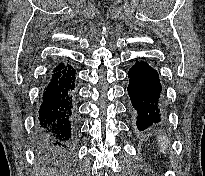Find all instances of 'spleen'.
Listing matches in <instances>:
<instances>
[{
    "instance_id": "3e777b00",
    "label": "spleen",
    "mask_w": 205,
    "mask_h": 176,
    "mask_svg": "<svg viewBox=\"0 0 205 176\" xmlns=\"http://www.w3.org/2000/svg\"><path fill=\"white\" fill-rule=\"evenodd\" d=\"M158 143H159V146L161 148V152L163 154L166 153V149L168 147V144H169V140L168 138L165 136V135H161L158 139Z\"/></svg>"
}]
</instances>
